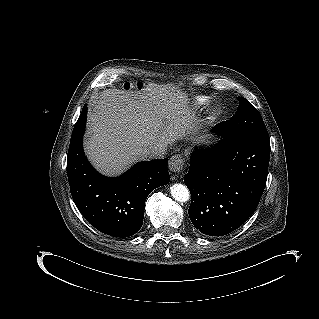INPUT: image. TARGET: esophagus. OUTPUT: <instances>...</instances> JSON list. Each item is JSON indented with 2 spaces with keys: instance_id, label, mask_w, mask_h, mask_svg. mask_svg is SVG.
Masks as SVG:
<instances>
[{
  "instance_id": "1",
  "label": "esophagus",
  "mask_w": 319,
  "mask_h": 319,
  "mask_svg": "<svg viewBox=\"0 0 319 319\" xmlns=\"http://www.w3.org/2000/svg\"><path fill=\"white\" fill-rule=\"evenodd\" d=\"M184 165V159L181 155H173L168 163V168L171 173L177 174L182 171Z\"/></svg>"
}]
</instances>
